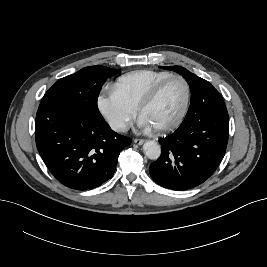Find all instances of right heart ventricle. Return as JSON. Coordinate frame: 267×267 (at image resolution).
<instances>
[{
    "label": "right heart ventricle",
    "mask_w": 267,
    "mask_h": 267,
    "mask_svg": "<svg viewBox=\"0 0 267 267\" xmlns=\"http://www.w3.org/2000/svg\"><path fill=\"white\" fill-rule=\"evenodd\" d=\"M169 75L171 73L166 71L138 70L119 77L113 89L129 105L137 109L151 88Z\"/></svg>",
    "instance_id": "e07e8e85"
}]
</instances>
